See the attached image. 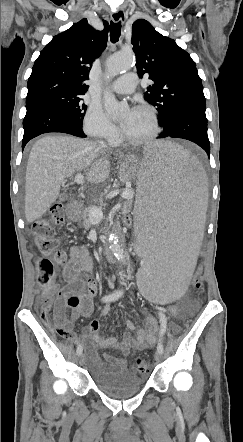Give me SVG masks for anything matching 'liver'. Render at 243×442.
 <instances>
[{"instance_id":"6515ba94","label":"liver","mask_w":243,"mask_h":442,"mask_svg":"<svg viewBox=\"0 0 243 442\" xmlns=\"http://www.w3.org/2000/svg\"><path fill=\"white\" fill-rule=\"evenodd\" d=\"M86 171L90 183L104 182L110 172L109 154L93 141L67 135H47L33 145L26 168L25 218H41L59 196L64 180Z\"/></svg>"}]
</instances>
